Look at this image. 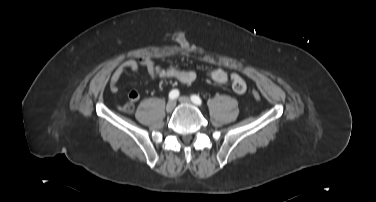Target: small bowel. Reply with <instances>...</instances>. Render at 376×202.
<instances>
[{
  "label": "small bowel",
  "instance_id": "c3829d8e",
  "mask_svg": "<svg viewBox=\"0 0 376 202\" xmlns=\"http://www.w3.org/2000/svg\"><path fill=\"white\" fill-rule=\"evenodd\" d=\"M140 68L145 69L153 78L175 79L183 84H190L196 79L195 72L190 69L176 66L164 68L157 65L151 58L141 56L136 59L125 60L114 70L109 82L110 91L114 94L117 93L119 91L120 79L127 74L137 72ZM208 76L212 81L219 84L232 81L231 87L237 94H244L247 90L245 81L239 75L228 72L223 68H213L209 71ZM128 99L131 103L137 102L140 99V94L132 90L128 94Z\"/></svg>",
  "mask_w": 376,
  "mask_h": 202
}]
</instances>
